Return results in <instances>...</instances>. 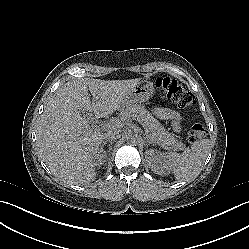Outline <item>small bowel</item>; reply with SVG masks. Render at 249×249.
<instances>
[{
    "mask_svg": "<svg viewBox=\"0 0 249 249\" xmlns=\"http://www.w3.org/2000/svg\"><path fill=\"white\" fill-rule=\"evenodd\" d=\"M155 113L158 115V117L171 121V124L174 128H177V123L175 119L178 116V113L176 111L170 110L168 108H159L155 110Z\"/></svg>",
    "mask_w": 249,
    "mask_h": 249,
    "instance_id": "obj_1",
    "label": "small bowel"
}]
</instances>
